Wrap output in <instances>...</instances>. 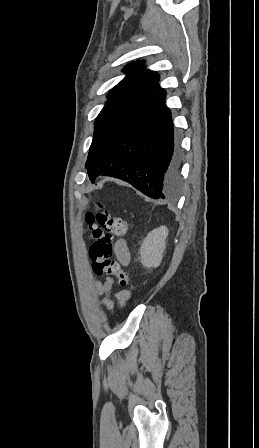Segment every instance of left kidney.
<instances>
[{
  "mask_svg": "<svg viewBox=\"0 0 259 448\" xmlns=\"http://www.w3.org/2000/svg\"><path fill=\"white\" fill-rule=\"evenodd\" d=\"M168 236V228L160 226L149 232L140 248L141 264L145 268H158L162 262L163 252L166 248L165 240Z\"/></svg>",
  "mask_w": 259,
  "mask_h": 448,
  "instance_id": "1",
  "label": "left kidney"
}]
</instances>
